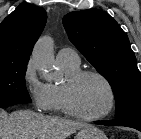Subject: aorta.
Returning <instances> with one entry per match:
<instances>
[{
  "instance_id": "1",
  "label": "aorta",
  "mask_w": 141,
  "mask_h": 139,
  "mask_svg": "<svg viewBox=\"0 0 141 139\" xmlns=\"http://www.w3.org/2000/svg\"><path fill=\"white\" fill-rule=\"evenodd\" d=\"M32 61L46 80L53 78L54 54L51 37L42 36L39 38L32 51Z\"/></svg>"
}]
</instances>
